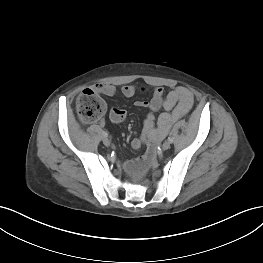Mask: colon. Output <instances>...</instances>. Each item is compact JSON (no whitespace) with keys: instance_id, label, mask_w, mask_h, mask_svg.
Listing matches in <instances>:
<instances>
[{"instance_id":"obj_1","label":"colon","mask_w":263,"mask_h":263,"mask_svg":"<svg viewBox=\"0 0 263 263\" xmlns=\"http://www.w3.org/2000/svg\"><path fill=\"white\" fill-rule=\"evenodd\" d=\"M79 118L86 123L99 120L106 111V104L97 91L85 89L76 99Z\"/></svg>"}]
</instances>
